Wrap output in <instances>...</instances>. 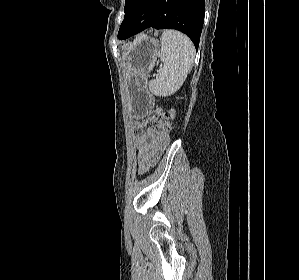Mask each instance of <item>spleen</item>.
<instances>
[{
    "instance_id": "obj_1",
    "label": "spleen",
    "mask_w": 299,
    "mask_h": 280,
    "mask_svg": "<svg viewBox=\"0 0 299 280\" xmlns=\"http://www.w3.org/2000/svg\"><path fill=\"white\" fill-rule=\"evenodd\" d=\"M194 58L195 47L187 36L174 30L163 31L160 50L163 67L148 84L151 93L166 97L179 90L192 69Z\"/></svg>"
}]
</instances>
